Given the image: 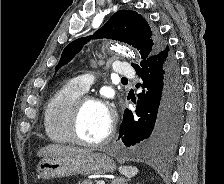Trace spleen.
<instances>
[{"label": "spleen", "mask_w": 224, "mask_h": 184, "mask_svg": "<svg viewBox=\"0 0 224 184\" xmlns=\"http://www.w3.org/2000/svg\"><path fill=\"white\" fill-rule=\"evenodd\" d=\"M119 171L128 178H131L138 173V169L132 166H121L119 167Z\"/></svg>", "instance_id": "spleen-1"}]
</instances>
